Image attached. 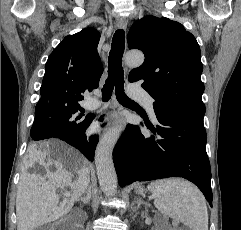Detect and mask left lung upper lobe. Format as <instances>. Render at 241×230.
<instances>
[{
  "label": "left lung upper lobe",
  "instance_id": "1",
  "mask_svg": "<svg viewBox=\"0 0 241 230\" xmlns=\"http://www.w3.org/2000/svg\"><path fill=\"white\" fill-rule=\"evenodd\" d=\"M128 46L145 55L144 63L133 69L128 79L142 82L155 99L153 105L204 117L200 47L183 25L164 17L145 16L130 28Z\"/></svg>",
  "mask_w": 241,
  "mask_h": 230
}]
</instances>
